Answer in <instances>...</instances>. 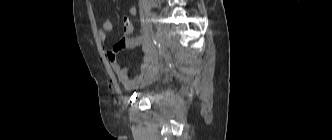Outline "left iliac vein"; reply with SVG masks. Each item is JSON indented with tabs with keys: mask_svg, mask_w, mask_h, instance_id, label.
Returning <instances> with one entry per match:
<instances>
[{
	"mask_svg": "<svg viewBox=\"0 0 332 140\" xmlns=\"http://www.w3.org/2000/svg\"><path fill=\"white\" fill-rule=\"evenodd\" d=\"M154 40H155L156 45L159 48H163V46H164L163 34L160 31L156 32V34L154 36Z\"/></svg>",
	"mask_w": 332,
	"mask_h": 140,
	"instance_id": "obj_1",
	"label": "left iliac vein"
}]
</instances>
